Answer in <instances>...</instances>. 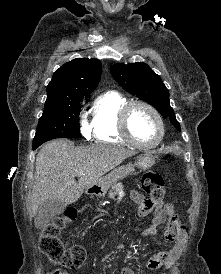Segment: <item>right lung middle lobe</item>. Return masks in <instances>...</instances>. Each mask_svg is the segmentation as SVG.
<instances>
[{"label":"right lung middle lobe","mask_w":221,"mask_h":274,"mask_svg":"<svg viewBox=\"0 0 221 274\" xmlns=\"http://www.w3.org/2000/svg\"><path fill=\"white\" fill-rule=\"evenodd\" d=\"M84 97L46 101L33 140V147L37 148L42 143L54 138L79 136V114Z\"/></svg>","instance_id":"1"}]
</instances>
